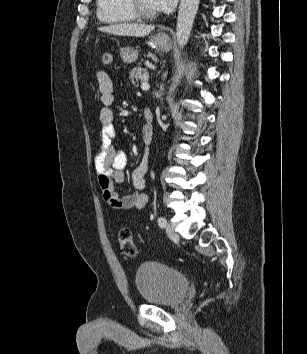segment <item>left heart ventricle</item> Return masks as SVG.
Returning <instances> with one entry per match:
<instances>
[{
  "label": "left heart ventricle",
  "instance_id": "b2bd125f",
  "mask_svg": "<svg viewBox=\"0 0 307 354\" xmlns=\"http://www.w3.org/2000/svg\"><path fill=\"white\" fill-rule=\"evenodd\" d=\"M140 4L142 5V7L144 9H146L147 11H151V12H155V8L152 5L151 0H139Z\"/></svg>",
  "mask_w": 307,
  "mask_h": 354
}]
</instances>
